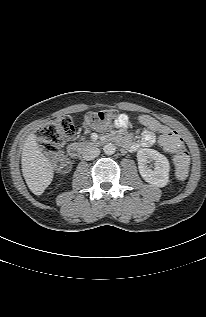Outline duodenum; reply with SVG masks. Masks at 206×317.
I'll use <instances>...</instances> for the list:
<instances>
[{"label": "duodenum", "instance_id": "duodenum-1", "mask_svg": "<svg viewBox=\"0 0 206 317\" xmlns=\"http://www.w3.org/2000/svg\"><path fill=\"white\" fill-rule=\"evenodd\" d=\"M114 140H119L117 136H113ZM84 145L72 144L70 145L68 152L73 158H79L84 150Z\"/></svg>", "mask_w": 206, "mask_h": 317}]
</instances>
